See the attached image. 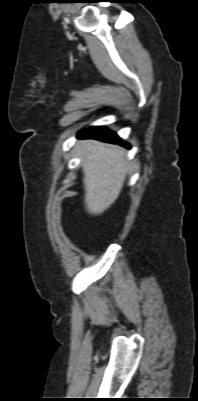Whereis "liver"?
<instances>
[{"label": "liver", "mask_w": 198, "mask_h": 401, "mask_svg": "<svg viewBox=\"0 0 198 401\" xmlns=\"http://www.w3.org/2000/svg\"><path fill=\"white\" fill-rule=\"evenodd\" d=\"M85 207L92 215H100L118 198L127 173L125 151L98 141L81 142Z\"/></svg>", "instance_id": "6515ba94"}]
</instances>
